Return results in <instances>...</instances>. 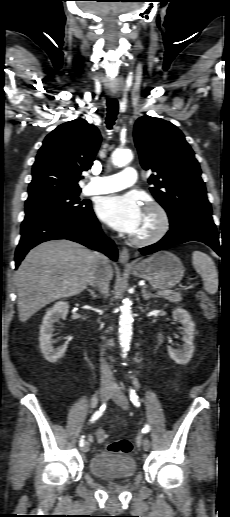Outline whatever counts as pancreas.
Returning <instances> with one entry per match:
<instances>
[{"label":"pancreas","mask_w":230,"mask_h":517,"mask_svg":"<svg viewBox=\"0 0 230 517\" xmlns=\"http://www.w3.org/2000/svg\"><path fill=\"white\" fill-rule=\"evenodd\" d=\"M162 297L172 303H177L182 300L180 292H169L162 295Z\"/></svg>","instance_id":"1"}]
</instances>
